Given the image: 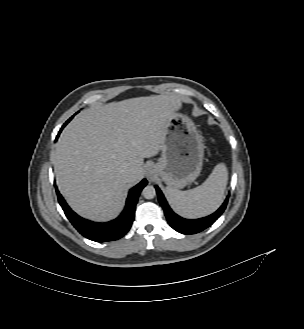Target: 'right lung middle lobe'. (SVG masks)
Here are the masks:
<instances>
[{
	"label": "right lung middle lobe",
	"mask_w": 304,
	"mask_h": 329,
	"mask_svg": "<svg viewBox=\"0 0 304 329\" xmlns=\"http://www.w3.org/2000/svg\"><path fill=\"white\" fill-rule=\"evenodd\" d=\"M73 117H71L67 122H66V124L72 119Z\"/></svg>",
	"instance_id": "obj_1"
}]
</instances>
